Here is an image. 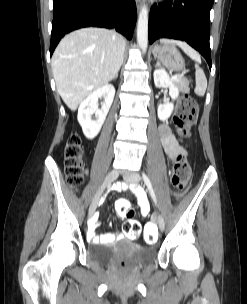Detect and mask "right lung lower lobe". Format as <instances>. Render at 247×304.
Listing matches in <instances>:
<instances>
[{"label": "right lung lower lobe", "mask_w": 247, "mask_h": 304, "mask_svg": "<svg viewBox=\"0 0 247 304\" xmlns=\"http://www.w3.org/2000/svg\"><path fill=\"white\" fill-rule=\"evenodd\" d=\"M50 56L61 38L82 27H105L131 39L137 13L135 0H53Z\"/></svg>", "instance_id": "98d812e1"}]
</instances>
